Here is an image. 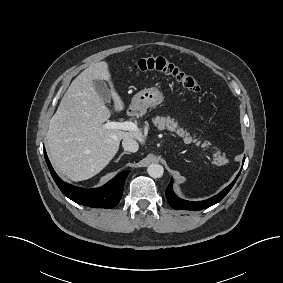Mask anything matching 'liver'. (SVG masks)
<instances>
[{
    "label": "liver",
    "instance_id": "6515ba94",
    "mask_svg": "<svg viewBox=\"0 0 283 283\" xmlns=\"http://www.w3.org/2000/svg\"><path fill=\"white\" fill-rule=\"evenodd\" d=\"M94 80L111 86L114 109L124 103L111 81L108 63L97 62L81 72L65 92L47 133V152L57 172L73 181L92 178L103 170L118 152L120 141L135 138L145 143L140 131L107 129L104 123L111 111L94 88Z\"/></svg>",
    "mask_w": 283,
    "mask_h": 283
}]
</instances>
